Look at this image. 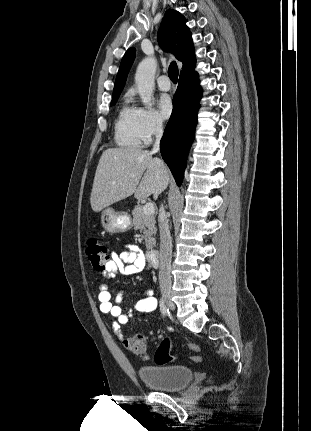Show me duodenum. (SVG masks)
Segmentation results:
<instances>
[{
  "label": "duodenum",
  "instance_id": "1",
  "mask_svg": "<svg viewBox=\"0 0 311 431\" xmlns=\"http://www.w3.org/2000/svg\"><path fill=\"white\" fill-rule=\"evenodd\" d=\"M147 259L152 266H157L159 263V252L156 249H150L147 251Z\"/></svg>",
  "mask_w": 311,
  "mask_h": 431
}]
</instances>
